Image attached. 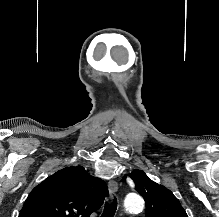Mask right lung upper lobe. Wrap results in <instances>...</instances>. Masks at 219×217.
Masks as SVG:
<instances>
[{
    "label": "right lung upper lobe",
    "instance_id": "right-lung-upper-lobe-1",
    "mask_svg": "<svg viewBox=\"0 0 219 217\" xmlns=\"http://www.w3.org/2000/svg\"><path fill=\"white\" fill-rule=\"evenodd\" d=\"M108 195L103 180L82 166L57 171L29 194L19 217H89Z\"/></svg>",
    "mask_w": 219,
    "mask_h": 217
}]
</instances>
